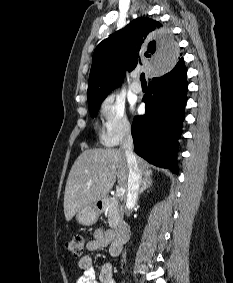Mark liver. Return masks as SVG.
Here are the masks:
<instances>
[{
    "label": "liver",
    "instance_id": "6515ba94",
    "mask_svg": "<svg viewBox=\"0 0 233 283\" xmlns=\"http://www.w3.org/2000/svg\"><path fill=\"white\" fill-rule=\"evenodd\" d=\"M141 175L152 173L148 163L137 157ZM129 168L122 149L85 150L74 162L68 175L64 214L67 221L82 208L104 198L113 187L116 178L125 190L128 188Z\"/></svg>",
    "mask_w": 233,
    "mask_h": 283
}]
</instances>
